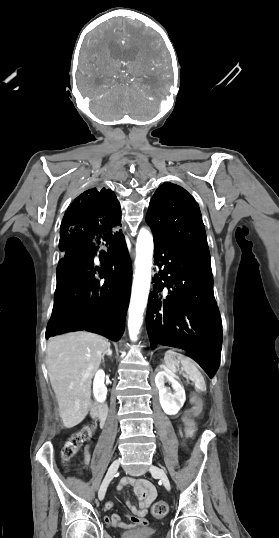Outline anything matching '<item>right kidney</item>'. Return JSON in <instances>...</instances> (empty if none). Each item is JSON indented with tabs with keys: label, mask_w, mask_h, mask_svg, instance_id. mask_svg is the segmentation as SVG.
<instances>
[{
	"label": "right kidney",
	"mask_w": 279,
	"mask_h": 538,
	"mask_svg": "<svg viewBox=\"0 0 279 538\" xmlns=\"http://www.w3.org/2000/svg\"><path fill=\"white\" fill-rule=\"evenodd\" d=\"M104 380L105 374L103 370H98L93 384V394L97 402H105L106 400L107 388H105Z\"/></svg>",
	"instance_id": "obj_1"
}]
</instances>
